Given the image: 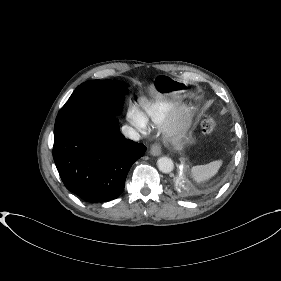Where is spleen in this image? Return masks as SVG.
Here are the masks:
<instances>
[{
  "instance_id": "3e777b00",
  "label": "spleen",
  "mask_w": 281,
  "mask_h": 281,
  "mask_svg": "<svg viewBox=\"0 0 281 281\" xmlns=\"http://www.w3.org/2000/svg\"><path fill=\"white\" fill-rule=\"evenodd\" d=\"M221 165V160L213 161L206 165H197L192 167L191 175L196 182L201 183L214 176L218 172Z\"/></svg>"
}]
</instances>
